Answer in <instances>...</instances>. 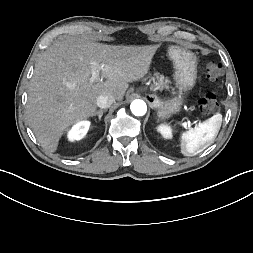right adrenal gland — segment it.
<instances>
[{
  "label": "right adrenal gland",
  "mask_w": 253,
  "mask_h": 253,
  "mask_svg": "<svg viewBox=\"0 0 253 253\" xmlns=\"http://www.w3.org/2000/svg\"><path fill=\"white\" fill-rule=\"evenodd\" d=\"M106 111V109H100V110H98V111H96L95 113H94V116H98V119H99V121L101 120V118H102V116H103V112H105Z\"/></svg>",
  "instance_id": "2a0ac1e0"
}]
</instances>
